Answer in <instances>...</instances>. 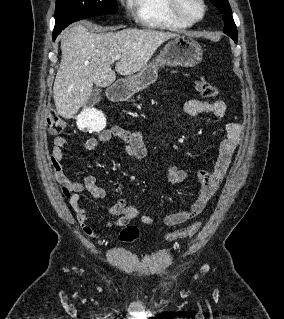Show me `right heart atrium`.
Wrapping results in <instances>:
<instances>
[{
	"label": "right heart atrium",
	"instance_id": "1",
	"mask_svg": "<svg viewBox=\"0 0 284 319\" xmlns=\"http://www.w3.org/2000/svg\"><path fill=\"white\" fill-rule=\"evenodd\" d=\"M120 1L129 10L133 7L132 6V1L133 0H120Z\"/></svg>",
	"mask_w": 284,
	"mask_h": 319
}]
</instances>
